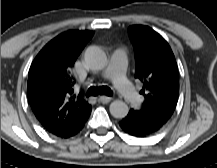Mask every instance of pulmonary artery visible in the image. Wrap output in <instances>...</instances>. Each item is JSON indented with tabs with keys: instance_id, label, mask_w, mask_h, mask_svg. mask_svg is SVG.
<instances>
[{
	"instance_id": "1",
	"label": "pulmonary artery",
	"mask_w": 217,
	"mask_h": 168,
	"mask_svg": "<svg viewBox=\"0 0 217 168\" xmlns=\"http://www.w3.org/2000/svg\"><path fill=\"white\" fill-rule=\"evenodd\" d=\"M127 66V52L123 47L116 48L110 58V65L103 75L114 83L123 99L130 104L140 102V96L125 77Z\"/></svg>"
}]
</instances>
